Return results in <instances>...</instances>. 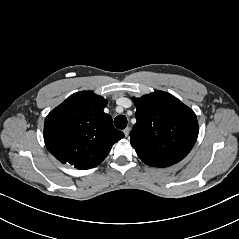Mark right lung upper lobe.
Masks as SVG:
<instances>
[{"mask_svg":"<svg viewBox=\"0 0 239 239\" xmlns=\"http://www.w3.org/2000/svg\"><path fill=\"white\" fill-rule=\"evenodd\" d=\"M107 100L91 91L69 96L52 110L44 123L49 152L63 164L90 169L100 164L112 145L124 137L104 113Z\"/></svg>","mask_w":239,"mask_h":239,"instance_id":"cb5924a9","label":"right lung upper lobe"}]
</instances>
